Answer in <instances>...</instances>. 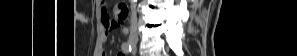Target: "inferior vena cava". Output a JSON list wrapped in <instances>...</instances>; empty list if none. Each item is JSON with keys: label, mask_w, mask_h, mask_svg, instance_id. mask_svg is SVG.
<instances>
[{"label": "inferior vena cava", "mask_w": 297, "mask_h": 56, "mask_svg": "<svg viewBox=\"0 0 297 56\" xmlns=\"http://www.w3.org/2000/svg\"><path fill=\"white\" fill-rule=\"evenodd\" d=\"M130 24H131V32L136 33L137 15H136V5L135 4H133L131 6Z\"/></svg>", "instance_id": "1"}]
</instances>
